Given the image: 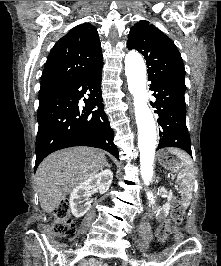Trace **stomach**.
Returning a JSON list of instances; mask_svg holds the SVG:
<instances>
[{
  "instance_id": "obj_1",
  "label": "stomach",
  "mask_w": 221,
  "mask_h": 266,
  "mask_svg": "<svg viewBox=\"0 0 221 266\" xmlns=\"http://www.w3.org/2000/svg\"><path fill=\"white\" fill-rule=\"evenodd\" d=\"M175 154L171 153L169 149L161 150L158 153V161L159 163L169 171L181 173L184 172L185 166L178 159V157L174 156Z\"/></svg>"
}]
</instances>
